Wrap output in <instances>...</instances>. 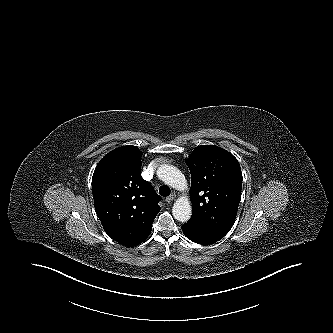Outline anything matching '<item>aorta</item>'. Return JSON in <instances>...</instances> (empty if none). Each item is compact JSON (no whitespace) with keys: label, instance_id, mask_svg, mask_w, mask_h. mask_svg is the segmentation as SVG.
Returning <instances> with one entry per match:
<instances>
[{"label":"aorta","instance_id":"aorta-1","mask_svg":"<svg viewBox=\"0 0 333 333\" xmlns=\"http://www.w3.org/2000/svg\"><path fill=\"white\" fill-rule=\"evenodd\" d=\"M158 177L167 185L183 190L187 187L184 175L179 169L171 165H161L157 170ZM173 217L179 222H187L192 214V207L187 198H179L172 208Z\"/></svg>","mask_w":333,"mask_h":333}]
</instances>
